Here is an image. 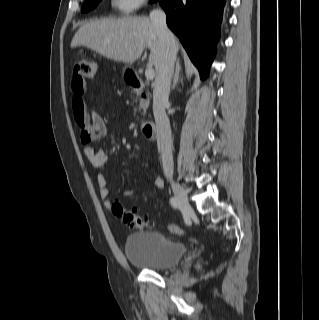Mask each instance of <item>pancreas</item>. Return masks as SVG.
Segmentation results:
<instances>
[{"mask_svg":"<svg viewBox=\"0 0 319 320\" xmlns=\"http://www.w3.org/2000/svg\"><path fill=\"white\" fill-rule=\"evenodd\" d=\"M148 106H149V100L148 99H141L140 100V107L143 109L144 114H145L146 109L148 108Z\"/></svg>","mask_w":319,"mask_h":320,"instance_id":"cf45deb5","label":"pancreas"}]
</instances>
